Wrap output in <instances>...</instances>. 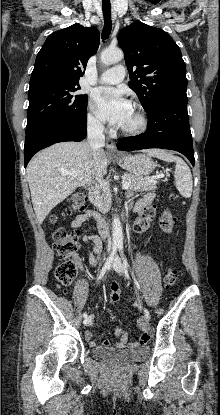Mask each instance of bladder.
<instances>
[{"instance_id":"1","label":"bladder","mask_w":220,"mask_h":415,"mask_svg":"<svg viewBox=\"0 0 220 415\" xmlns=\"http://www.w3.org/2000/svg\"><path fill=\"white\" fill-rule=\"evenodd\" d=\"M93 353L109 363L125 365L144 360L149 353V349L147 347H137L128 350H114L95 347Z\"/></svg>"}]
</instances>
